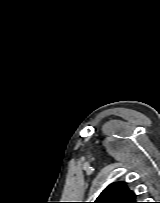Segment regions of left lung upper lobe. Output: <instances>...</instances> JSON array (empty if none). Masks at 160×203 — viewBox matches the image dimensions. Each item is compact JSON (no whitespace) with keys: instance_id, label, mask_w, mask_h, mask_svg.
I'll return each mask as SVG.
<instances>
[{"instance_id":"5c2ea615","label":"left lung upper lobe","mask_w":160,"mask_h":203,"mask_svg":"<svg viewBox=\"0 0 160 203\" xmlns=\"http://www.w3.org/2000/svg\"><path fill=\"white\" fill-rule=\"evenodd\" d=\"M94 203H138L137 196L125 183L110 184Z\"/></svg>"}]
</instances>
